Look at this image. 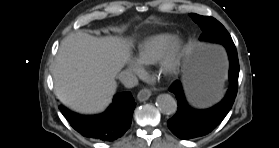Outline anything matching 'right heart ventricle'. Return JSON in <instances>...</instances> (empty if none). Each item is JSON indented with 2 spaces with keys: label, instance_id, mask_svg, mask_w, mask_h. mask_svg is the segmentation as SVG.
I'll return each instance as SVG.
<instances>
[{
  "label": "right heart ventricle",
  "instance_id": "right-heart-ventricle-1",
  "mask_svg": "<svg viewBox=\"0 0 279 148\" xmlns=\"http://www.w3.org/2000/svg\"><path fill=\"white\" fill-rule=\"evenodd\" d=\"M175 42V35L170 33L153 35L140 45L137 61L142 65L156 63L161 60Z\"/></svg>",
  "mask_w": 279,
  "mask_h": 148
}]
</instances>
